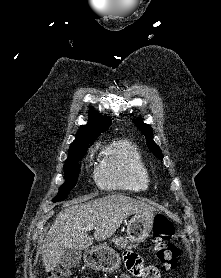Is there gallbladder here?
<instances>
[{"label":"gallbladder","mask_w":221,"mask_h":278,"mask_svg":"<svg viewBox=\"0 0 221 278\" xmlns=\"http://www.w3.org/2000/svg\"><path fill=\"white\" fill-rule=\"evenodd\" d=\"M82 258L81 251L68 249L61 257L60 264L65 268H72L79 264Z\"/></svg>","instance_id":"1"}]
</instances>
